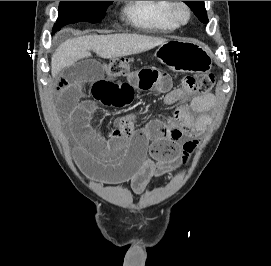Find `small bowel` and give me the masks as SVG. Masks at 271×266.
<instances>
[{
	"label": "small bowel",
	"mask_w": 271,
	"mask_h": 266,
	"mask_svg": "<svg viewBox=\"0 0 271 266\" xmlns=\"http://www.w3.org/2000/svg\"><path fill=\"white\" fill-rule=\"evenodd\" d=\"M123 75L125 81L114 82L105 77L97 61L89 59L60 66L56 106L77 144L78 167L90 178L110 184L128 182L135 193H142L153 178L178 168L180 140L202 132L214 97H191L182 89H172L170 76L151 65L128 69ZM135 90L165 93L166 106L179 104L171 121L153 120L136 130V117L126 116L116 120L107 135L99 132L93 117L96 104L127 106ZM86 92L89 98H84Z\"/></svg>",
	"instance_id": "c3829d8e"
}]
</instances>
